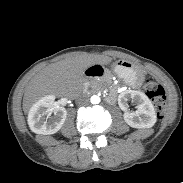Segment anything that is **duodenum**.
<instances>
[{"label": "duodenum", "mask_w": 183, "mask_h": 183, "mask_svg": "<svg viewBox=\"0 0 183 183\" xmlns=\"http://www.w3.org/2000/svg\"><path fill=\"white\" fill-rule=\"evenodd\" d=\"M104 74L105 71L100 65H92L85 70V75L90 80L100 78ZM108 99L111 101L113 99V95H110Z\"/></svg>", "instance_id": "obj_1"}]
</instances>
